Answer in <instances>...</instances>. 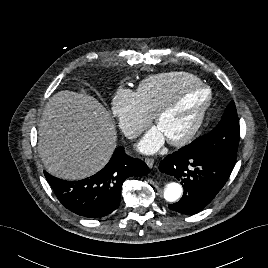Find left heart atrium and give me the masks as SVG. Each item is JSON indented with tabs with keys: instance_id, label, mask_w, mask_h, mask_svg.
I'll use <instances>...</instances> for the list:
<instances>
[{
	"instance_id": "1",
	"label": "left heart atrium",
	"mask_w": 268,
	"mask_h": 268,
	"mask_svg": "<svg viewBox=\"0 0 268 268\" xmlns=\"http://www.w3.org/2000/svg\"><path fill=\"white\" fill-rule=\"evenodd\" d=\"M165 136L158 126L150 128L144 135L137 148L144 154L156 152L164 143Z\"/></svg>"
}]
</instances>
